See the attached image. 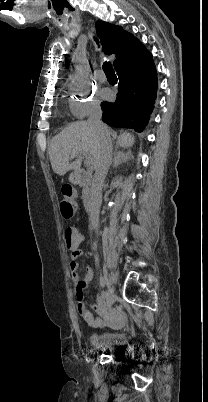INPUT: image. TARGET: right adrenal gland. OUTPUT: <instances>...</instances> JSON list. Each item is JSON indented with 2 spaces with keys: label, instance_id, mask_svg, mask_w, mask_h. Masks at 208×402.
Segmentation results:
<instances>
[{
  "label": "right adrenal gland",
  "instance_id": "2a0ac1e0",
  "mask_svg": "<svg viewBox=\"0 0 208 402\" xmlns=\"http://www.w3.org/2000/svg\"><path fill=\"white\" fill-rule=\"evenodd\" d=\"M127 158H128L127 154H124V152H117V150H115V154H114V158H113L114 168H116L117 162H118V164H119V162H126Z\"/></svg>",
  "mask_w": 208,
  "mask_h": 402
}]
</instances>
